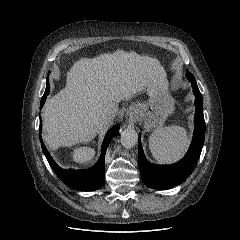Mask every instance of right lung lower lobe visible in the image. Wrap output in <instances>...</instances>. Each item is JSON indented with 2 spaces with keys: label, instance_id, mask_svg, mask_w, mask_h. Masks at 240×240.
I'll return each mask as SVG.
<instances>
[{
  "label": "right lung lower lobe",
  "instance_id": "98d812e1",
  "mask_svg": "<svg viewBox=\"0 0 240 240\" xmlns=\"http://www.w3.org/2000/svg\"><path fill=\"white\" fill-rule=\"evenodd\" d=\"M46 100V97H42L40 108L43 107V104ZM41 119V117H40ZM40 133L42 132V123L40 121ZM118 126H114L111 128L103 141L101 147V156L98 162L85 171H74V170H65L59 167L53 158L50 156L49 152L47 151L43 141L42 136L39 134L40 142L42 150L50 164L51 168L55 172V174L59 177V179L68 187L79 190V191H94L100 189L104 185V169H105V153L106 149L113 139L115 135L118 134Z\"/></svg>",
  "mask_w": 240,
  "mask_h": 240
}]
</instances>
